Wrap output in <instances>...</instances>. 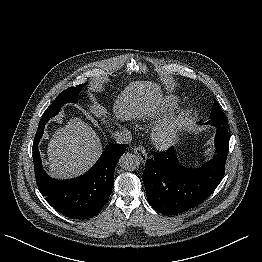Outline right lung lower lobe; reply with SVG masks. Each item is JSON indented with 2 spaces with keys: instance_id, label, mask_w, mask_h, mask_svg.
<instances>
[{
  "instance_id": "98d812e1",
  "label": "right lung lower lobe",
  "mask_w": 262,
  "mask_h": 262,
  "mask_svg": "<svg viewBox=\"0 0 262 262\" xmlns=\"http://www.w3.org/2000/svg\"><path fill=\"white\" fill-rule=\"evenodd\" d=\"M50 118H41L33 142V161L38 188L47 202L73 219L91 218L109 199L114 170L127 145H108L95 165L84 175L71 180L50 178L42 167L38 143Z\"/></svg>"
}]
</instances>
